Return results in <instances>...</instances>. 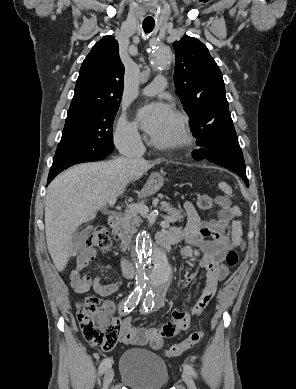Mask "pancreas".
Returning <instances> with one entry per match:
<instances>
[{
  "label": "pancreas",
  "instance_id": "obj_1",
  "mask_svg": "<svg viewBox=\"0 0 296 389\" xmlns=\"http://www.w3.org/2000/svg\"><path fill=\"white\" fill-rule=\"evenodd\" d=\"M160 205V209L167 213L166 219L169 222L175 223L183 220L181 212L170 206L169 203L161 202ZM141 222L142 219L139 212L132 209L127 210L121 218L118 227L114 230V234L121 240V248L123 251H126L129 248L131 239L137 232V228L140 226Z\"/></svg>",
  "mask_w": 296,
  "mask_h": 389
}]
</instances>
